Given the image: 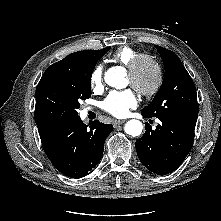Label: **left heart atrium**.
I'll return each mask as SVG.
<instances>
[{
    "label": "left heart atrium",
    "mask_w": 221,
    "mask_h": 221,
    "mask_svg": "<svg viewBox=\"0 0 221 221\" xmlns=\"http://www.w3.org/2000/svg\"><path fill=\"white\" fill-rule=\"evenodd\" d=\"M137 106V98L130 89L111 92L102 103L103 109L115 117H125Z\"/></svg>",
    "instance_id": "39dd6f15"
}]
</instances>
